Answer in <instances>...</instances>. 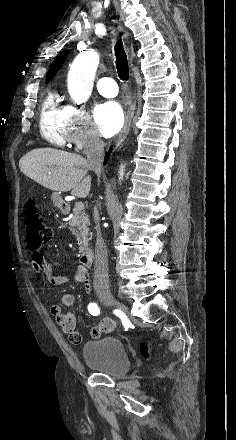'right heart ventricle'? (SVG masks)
I'll return each instance as SVG.
<instances>
[{"label":"right heart ventricle","instance_id":"right-heart-ventricle-1","mask_svg":"<svg viewBox=\"0 0 236 440\" xmlns=\"http://www.w3.org/2000/svg\"><path fill=\"white\" fill-rule=\"evenodd\" d=\"M39 126L42 136L51 144L62 147L67 143L65 106L60 104L58 95L53 91L42 103Z\"/></svg>","mask_w":236,"mask_h":440}]
</instances>
